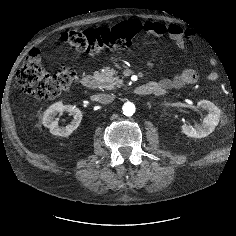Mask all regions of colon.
Returning a JSON list of instances; mask_svg holds the SVG:
<instances>
[{
	"mask_svg": "<svg viewBox=\"0 0 236 236\" xmlns=\"http://www.w3.org/2000/svg\"><path fill=\"white\" fill-rule=\"evenodd\" d=\"M138 21L127 20L111 27L91 28L63 33L61 40L71 48L90 55L103 50H116L131 45L140 31ZM77 80L74 68H61L55 72L46 69L40 52L33 49L17 72V82L27 93L40 99H54L67 91Z\"/></svg>",
	"mask_w": 236,
	"mask_h": 236,
	"instance_id": "1",
	"label": "colon"
}]
</instances>
